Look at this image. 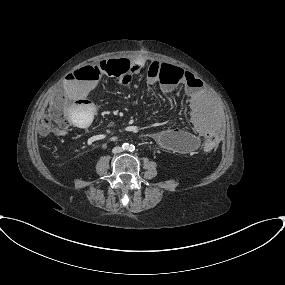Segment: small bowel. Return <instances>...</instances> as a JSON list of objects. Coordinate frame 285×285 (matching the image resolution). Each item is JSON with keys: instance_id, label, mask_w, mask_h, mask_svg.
Returning <instances> with one entry per match:
<instances>
[{"instance_id": "c3829d8e", "label": "small bowel", "mask_w": 285, "mask_h": 285, "mask_svg": "<svg viewBox=\"0 0 285 285\" xmlns=\"http://www.w3.org/2000/svg\"><path fill=\"white\" fill-rule=\"evenodd\" d=\"M143 60H136L133 66L138 70L142 68ZM161 68V62L152 60L149 63V72L151 76L148 78L149 83H155L157 72ZM67 81L62 86V93L65 102L69 106L70 111H77L81 118L88 119L90 116L91 104L89 96L96 86L95 80L80 81L72 74L67 76ZM184 85L185 95L188 100V111L192 132L180 128H168L155 131L152 135L153 140L162 148L175 150L179 153H188L199 147L203 139L207 135H219L218 122L206 115V105L203 98V91L197 84V79L194 74L184 72L181 82ZM164 92H172L176 87L172 84L162 85ZM72 121L75 125L78 124V119L72 116ZM64 133L61 137H66Z\"/></svg>"}]
</instances>
